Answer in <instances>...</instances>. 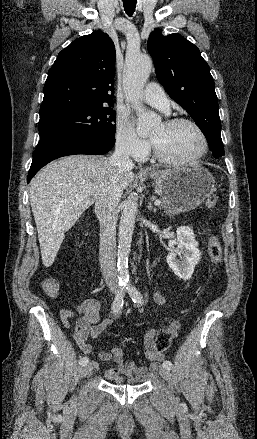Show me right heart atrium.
Instances as JSON below:
<instances>
[{"label": "right heart atrium", "mask_w": 257, "mask_h": 439, "mask_svg": "<svg viewBox=\"0 0 257 439\" xmlns=\"http://www.w3.org/2000/svg\"><path fill=\"white\" fill-rule=\"evenodd\" d=\"M115 146L119 153L134 159L146 157L150 149L149 141L138 135L133 123L126 117L117 119Z\"/></svg>", "instance_id": "right-heart-atrium-1"}]
</instances>
